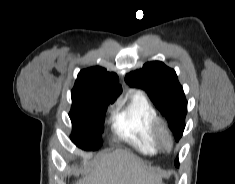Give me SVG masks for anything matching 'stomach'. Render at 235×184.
Segmentation results:
<instances>
[{"label":"stomach","instance_id":"1","mask_svg":"<svg viewBox=\"0 0 235 184\" xmlns=\"http://www.w3.org/2000/svg\"><path fill=\"white\" fill-rule=\"evenodd\" d=\"M159 184H163L162 180H160Z\"/></svg>","mask_w":235,"mask_h":184}]
</instances>
